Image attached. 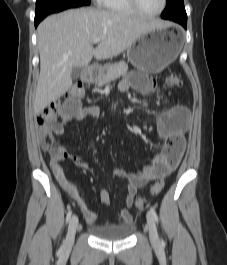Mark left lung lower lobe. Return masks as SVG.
I'll list each match as a JSON object with an SVG mask.
<instances>
[{
    "label": "left lung lower lobe",
    "mask_w": 227,
    "mask_h": 265,
    "mask_svg": "<svg viewBox=\"0 0 227 265\" xmlns=\"http://www.w3.org/2000/svg\"><path fill=\"white\" fill-rule=\"evenodd\" d=\"M173 21L180 23L185 29L187 28V19L186 20L176 19Z\"/></svg>",
    "instance_id": "obj_1"
}]
</instances>
